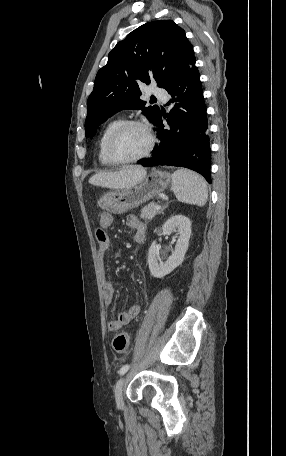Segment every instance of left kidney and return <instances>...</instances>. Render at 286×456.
Masks as SVG:
<instances>
[{
    "instance_id": "obj_1",
    "label": "left kidney",
    "mask_w": 286,
    "mask_h": 456,
    "mask_svg": "<svg viewBox=\"0 0 286 456\" xmlns=\"http://www.w3.org/2000/svg\"><path fill=\"white\" fill-rule=\"evenodd\" d=\"M177 232L178 240L172 255L166 261H161L159 248L153 241L148 253V265L150 273L155 278H162L171 273L182 264L189 246L191 236V221L183 215H175L168 219L162 226V235H170Z\"/></svg>"
}]
</instances>
